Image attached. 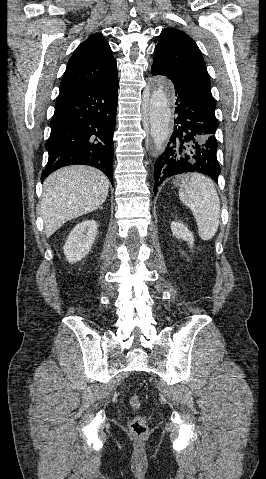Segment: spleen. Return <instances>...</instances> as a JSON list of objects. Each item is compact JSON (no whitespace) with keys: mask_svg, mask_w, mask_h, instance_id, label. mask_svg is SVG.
<instances>
[{"mask_svg":"<svg viewBox=\"0 0 266 479\" xmlns=\"http://www.w3.org/2000/svg\"><path fill=\"white\" fill-rule=\"evenodd\" d=\"M179 198L193 213L200 238L211 240L220 222V200L213 181L197 173L187 175L181 180Z\"/></svg>","mask_w":266,"mask_h":479,"instance_id":"3e777b00","label":"spleen"}]
</instances>
